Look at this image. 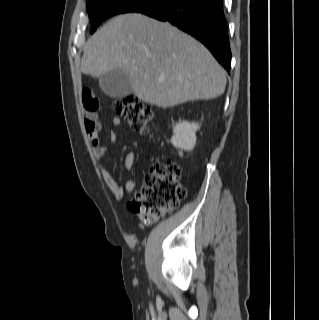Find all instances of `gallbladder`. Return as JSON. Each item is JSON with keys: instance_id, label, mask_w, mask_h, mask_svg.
<instances>
[{"instance_id": "1", "label": "gallbladder", "mask_w": 319, "mask_h": 320, "mask_svg": "<svg viewBox=\"0 0 319 320\" xmlns=\"http://www.w3.org/2000/svg\"><path fill=\"white\" fill-rule=\"evenodd\" d=\"M101 90L112 98H122L133 92L129 76L122 71L114 70L99 79Z\"/></svg>"}]
</instances>
